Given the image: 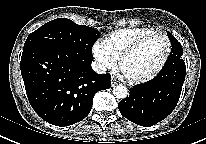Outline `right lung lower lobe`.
I'll list each match as a JSON object with an SVG mask.
<instances>
[{
	"label": "right lung lower lobe",
	"instance_id": "right-lung-lower-lobe-1",
	"mask_svg": "<svg viewBox=\"0 0 206 144\" xmlns=\"http://www.w3.org/2000/svg\"><path fill=\"white\" fill-rule=\"evenodd\" d=\"M93 57L50 45L23 49L21 74L29 102L45 121L69 126L88 116L96 92L110 88V75L91 68Z\"/></svg>",
	"mask_w": 206,
	"mask_h": 144
}]
</instances>
